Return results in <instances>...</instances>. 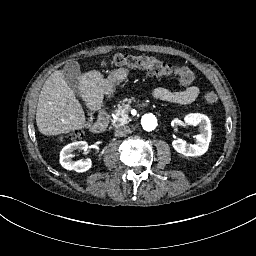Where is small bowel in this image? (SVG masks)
Segmentation results:
<instances>
[{"mask_svg": "<svg viewBox=\"0 0 256 256\" xmlns=\"http://www.w3.org/2000/svg\"><path fill=\"white\" fill-rule=\"evenodd\" d=\"M183 85L185 87L183 90L174 91L166 88H156L152 93L155 98L163 101L182 105L189 104L197 98L199 89L195 85Z\"/></svg>", "mask_w": 256, "mask_h": 256, "instance_id": "c3829d8e", "label": "small bowel"}]
</instances>
